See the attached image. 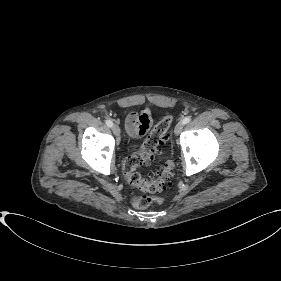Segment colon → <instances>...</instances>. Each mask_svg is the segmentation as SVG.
Wrapping results in <instances>:
<instances>
[{
	"instance_id": "obj_1",
	"label": "colon",
	"mask_w": 281,
	"mask_h": 281,
	"mask_svg": "<svg viewBox=\"0 0 281 281\" xmlns=\"http://www.w3.org/2000/svg\"><path fill=\"white\" fill-rule=\"evenodd\" d=\"M173 121L172 116L165 117L150 132L141 149L128 156L123 162V172L128 182L143 192L132 197V204L136 208L144 209L152 203H161L158 195L171 184L174 171L172 161H166L156 177L144 178L138 171V167L155 159L159 154V147L167 140V131Z\"/></svg>"
}]
</instances>
